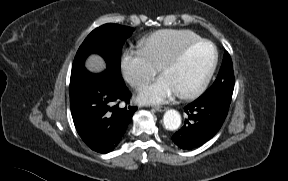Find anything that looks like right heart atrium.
Wrapping results in <instances>:
<instances>
[{"label": "right heart atrium", "mask_w": 288, "mask_h": 181, "mask_svg": "<svg viewBox=\"0 0 288 181\" xmlns=\"http://www.w3.org/2000/svg\"><path fill=\"white\" fill-rule=\"evenodd\" d=\"M121 70L127 82L135 87H143L158 71L142 49H127L121 57Z\"/></svg>", "instance_id": "obj_1"}]
</instances>
